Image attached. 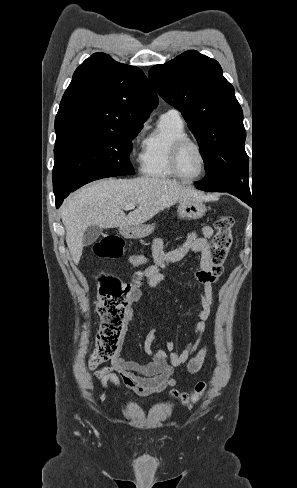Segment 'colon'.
<instances>
[{
	"label": "colon",
	"mask_w": 297,
	"mask_h": 488,
	"mask_svg": "<svg viewBox=\"0 0 297 488\" xmlns=\"http://www.w3.org/2000/svg\"><path fill=\"white\" fill-rule=\"evenodd\" d=\"M233 224L234 219L227 215H220L215 220L216 232L209 258V273L214 279L219 278L223 273V265L232 246ZM94 252L101 258L117 259L123 254L122 239L116 235H108L94 245ZM98 279L100 287L97 309L101 324L95 349L89 361L91 368L118 352L126 322L127 299L131 291L130 284H124L119 278L110 276L104 271H99ZM205 391V383H198L190 394L172 391L171 396L189 406L200 400Z\"/></svg>",
	"instance_id": "5ec220e1"
}]
</instances>
